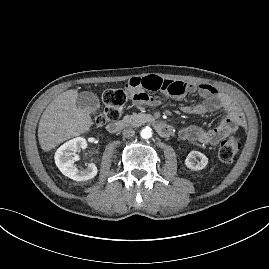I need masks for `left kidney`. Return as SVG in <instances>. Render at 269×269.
I'll list each match as a JSON object with an SVG mask.
<instances>
[{
  "label": "left kidney",
  "instance_id": "1",
  "mask_svg": "<svg viewBox=\"0 0 269 269\" xmlns=\"http://www.w3.org/2000/svg\"><path fill=\"white\" fill-rule=\"evenodd\" d=\"M199 158V160H196ZM208 164V158L199 151H191L185 159V165L187 168L197 171L202 170Z\"/></svg>",
  "mask_w": 269,
  "mask_h": 269
}]
</instances>
